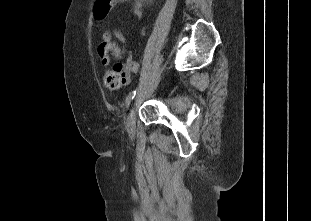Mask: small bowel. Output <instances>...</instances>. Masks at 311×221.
<instances>
[{"mask_svg":"<svg viewBox=\"0 0 311 221\" xmlns=\"http://www.w3.org/2000/svg\"><path fill=\"white\" fill-rule=\"evenodd\" d=\"M127 2H132V10L135 16L138 19H141L143 16L142 0H114L115 4L127 3ZM113 36H115L118 39V41L120 42L122 46L126 44V38L123 35V33L119 29H114L112 31L107 30L103 32L102 40L98 46H107L108 50L111 51L113 49V42H112ZM109 62H110L109 57H100L101 66L106 67L109 65ZM124 67H125L126 74L128 75V80H129V76L131 73H136L138 71V64L134 61L131 54L127 56Z\"/></svg>","mask_w":311,"mask_h":221,"instance_id":"c3829d8e","label":"small bowel"}]
</instances>
